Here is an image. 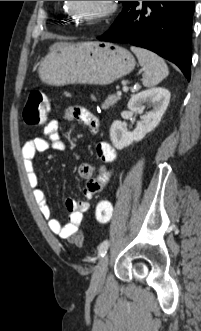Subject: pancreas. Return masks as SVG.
I'll return each instance as SVG.
<instances>
[{"mask_svg":"<svg viewBox=\"0 0 201 331\" xmlns=\"http://www.w3.org/2000/svg\"><path fill=\"white\" fill-rule=\"evenodd\" d=\"M120 99H121V95L118 94L109 95L102 104V108L107 109L110 106H113L115 103H117Z\"/></svg>","mask_w":201,"mask_h":331,"instance_id":"pancreas-1","label":"pancreas"}]
</instances>
